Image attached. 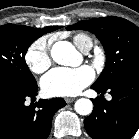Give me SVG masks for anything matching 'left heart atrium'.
<instances>
[{"instance_id": "39dd6f15", "label": "left heart atrium", "mask_w": 139, "mask_h": 139, "mask_svg": "<svg viewBox=\"0 0 139 139\" xmlns=\"http://www.w3.org/2000/svg\"><path fill=\"white\" fill-rule=\"evenodd\" d=\"M93 69L88 65L78 68L58 67L41 80L43 92L48 96H73L94 80Z\"/></svg>"}]
</instances>
